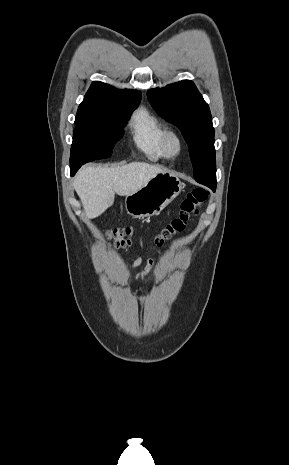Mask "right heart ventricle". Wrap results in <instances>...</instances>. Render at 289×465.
Here are the masks:
<instances>
[{"instance_id": "e07e8e85", "label": "right heart ventricle", "mask_w": 289, "mask_h": 465, "mask_svg": "<svg viewBox=\"0 0 289 465\" xmlns=\"http://www.w3.org/2000/svg\"><path fill=\"white\" fill-rule=\"evenodd\" d=\"M132 140L136 149L151 161L165 158L162 138L166 130L160 119L146 108L136 110L130 119Z\"/></svg>"}]
</instances>
